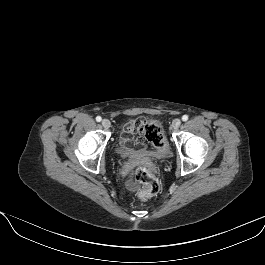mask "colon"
Wrapping results in <instances>:
<instances>
[{
  "label": "colon",
  "instance_id": "5ec220e1",
  "mask_svg": "<svg viewBox=\"0 0 265 265\" xmlns=\"http://www.w3.org/2000/svg\"><path fill=\"white\" fill-rule=\"evenodd\" d=\"M141 129L146 140L151 144L155 152L159 153L166 150V140L156 121H146ZM135 178L137 182L145 188L142 193V196L145 198L155 195L160 189L158 180L144 166H138L136 168Z\"/></svg>",
  "mask_w": 265,
  "mask_h": 265
}]
</instances>
